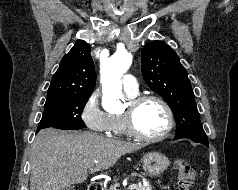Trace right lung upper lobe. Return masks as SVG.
I'll return each instance as SVG.
<instances>
[{
    "label": "right lung upper lobe",
    "mask_w": 238,
    "mask_h": 190,
    "mask_svg": "<svg viewBox=\"0 0 238 190\" xmlns=\"http://www.w3.org/2000/svg\"><path fill=\"white\" fill-rule=\"evenodd\" d=\"M96 75L90 45L77 42L63 56L48 89L47 99L69 95H89L95 87Z\"/></svg>",
    "instance_id": "obj_1"
}]
</instances>
